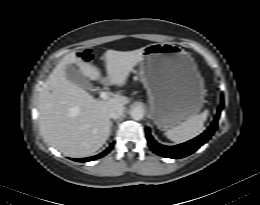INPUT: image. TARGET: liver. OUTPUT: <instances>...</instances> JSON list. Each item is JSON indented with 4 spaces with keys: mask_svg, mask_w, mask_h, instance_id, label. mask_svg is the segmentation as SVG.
Listing matches in <instances>:
<instances>
[{
    "mask_svg": "<svg viewBox=\"0 0 260 205\" xmlns=\"http://www.w3.org/2000/svg\"><path fill=\"white\" fill-rule=\"evenodd\" d=\"M144 48L133 51L107 50L105 64L110 84L124 86L133 68L142 61ZM76 64L90 80L101 79V70L84 62L76 52L65 55L49 75L40 93L38 110L40 131L44 139L69 157H86L95 153L110 135L108 110L126 105L129 98L114 94L107 100L93 98L66 77L69 65Z\"/></svg>",
    "mask_w": 260,
    "mask_h": 205,
    "instance_id": "1",
    "label": "liver"
}]
</instances>
